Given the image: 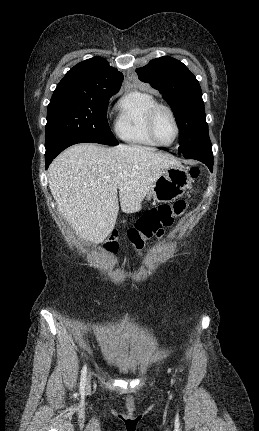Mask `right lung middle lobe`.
Returning a JSON list of instances; mask_svg holds the SVG:
<instances>
[{
  "mask_svg": "<svg viewBox=\"0 0 259 431\" xmlns=\"http://www.w3.org/2000/svg\"><path fill=\"white\" fill-rule=\"evenodd\" d=\"M114 93L54 92L47 110L45 146L71 137L92 143L118 145L106 118L109 98Z\"/></svg>",
  "mask_w": 259,
  "mask_h": 431,
  "instance_id": "obj_1",
  "label": "right lung middle lobe"
}]
</instances>
